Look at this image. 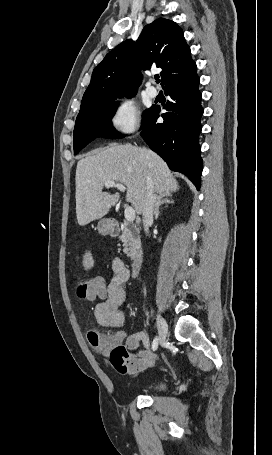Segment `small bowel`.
Segmentation results:
<instances>
[{"mask_svg": "<svg viewBox=\"0 0 272 455\" xmlns=\"http://www.w3.org/2000/svg\"><path fill=\"white\" fill-rule=\"evenodd\" d=\"M113 275L106 285V294L94 309L97 322L102 326L116 328L114 341L124 344L129 351L135 352L127 359L126 369L121 372L130 377H136L152 367L156 361V355L150 349V340L145 332H137L127 335L121 326L124 322L122 307L126 300L125 283L130 278V271L124 262L115 257L111 262ZM143 348L139 349V344Z\"/></svg>", "mask_w": 272, "mask_h": 455, "instance_id": "1", "label": "small bowel"}]
</instances>
